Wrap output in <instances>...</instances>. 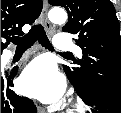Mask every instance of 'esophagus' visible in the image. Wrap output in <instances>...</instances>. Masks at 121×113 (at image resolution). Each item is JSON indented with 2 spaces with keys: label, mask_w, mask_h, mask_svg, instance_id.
<instances>
[{
  "label": "esophagus",
  "mask_w": 121,
  "mask_h": 113,
  "mask_svg": "<svg viewBox=\"0 0 121 113\" xmlns=\"http://www.w3.org/2000/svg\"><path fill=\"white\" fill-rule=\"evenodd\" d=\"M48 1L47 0H44L43 1V8H42V12H41V15H40V18H41V21L43 22V24L45 25L46 28H50L51 25L48 21V17H47V14H48ZM41 112H42V108H38Z\"/></svg>",
  "instance_id": "34e87169"
}]
</instances>
